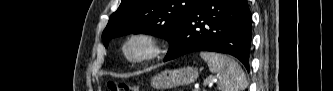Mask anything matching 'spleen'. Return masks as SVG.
Segmentation results:
<instances>
[{"mask_svg": "<svg viewBox=\"0 0 333 91\" xmlns=\"http://www.w3.org/2000/svg\"><path fill=\"white\" fill-rule=\"evenodd\" d=\"M200 57L217 75L219 91H244L247 88L245 73L233 58L214 52H200Z\"/></svg>", "mask_w": 333, "mask_h": 91, "instance_id": "spleen-1", "label": "spleen"}]
</instances>
